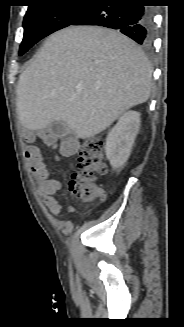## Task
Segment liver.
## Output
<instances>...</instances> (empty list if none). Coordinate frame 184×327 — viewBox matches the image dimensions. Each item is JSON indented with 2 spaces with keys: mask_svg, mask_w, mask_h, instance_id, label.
<instances>
[{
  "mask_svg": "<svg viewBox=\"0 0 184 327\" xmlns=\"http://www.w3.org/2000/svg\"><path fill=\"white\" fill-rule=\"evenodd\" d=\"M152 71L138 45L118 31L65 28L45 41L19 77L20 122L41 130L63 121L78 139L93 137L148 100Z\"/></svg>",
  "mask_w": 184,
  "mask_h": 327,
  "instance_id": "liver-1",
  "label": "liver"
}]
</instances>
